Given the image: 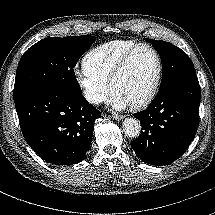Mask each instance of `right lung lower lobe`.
I'll use <instances>...</instances> for the list:
<instances>
[{
	"instance_id": "obj_1",
	"label": "right lung lower lobe",
	"mask_w": 215,
	"mask_h": 215,
	"mask_svg": "<svg viewBox=\"0 0 215 215\" xmlns=\"http://www.w3.org/2000/svg\"><path fill=\"white\" fill-rule=\"evenodd\" d=\"M26 142L46 162L73 165L88 150L100 111L81 94L41 90L15 102Z\"/></svg>"
}]
</instances>
